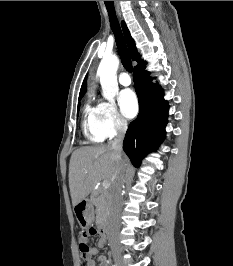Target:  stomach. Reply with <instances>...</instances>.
I'll return each mask as SVG.
<instances>
[{"mask_svg": "<svg viewBox=\"0 0 233 266\" xmlns=\"http://www.w3.org/2000/svg\"><path fill=\"white\" fill-rule=\"evenodd\" d=\"M79 204H76V209H74L75 221L79 228H92L93 227V211L94 204H88V199H79Z\"/></svg>", "mask_w": 233, "mask_h": 266, "instance_id": "obj_1", "label": "stomach"}]
</instances>
